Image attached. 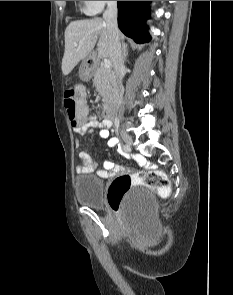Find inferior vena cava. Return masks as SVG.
Segmentation results:
<instances>
[{"mask_svg":"<svg viewBox=\"0 0 233 295\" xmlns=\"http://www.w3.org/2000/svg\"><path fill=\"white\" fill-rule=\"evenodd\" d=\"M103 18L109 30V50L115 73V85L120 86L125 66L117 25V1H107V10Z\"/></svg>","mask_w":233,"mask_h":295,"instance_id":"1","label":"inferior vena cava"}]
</instances>
